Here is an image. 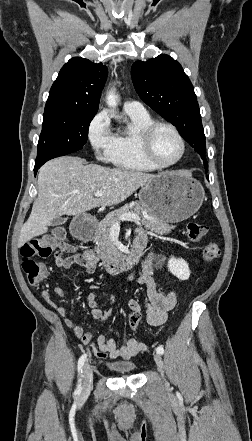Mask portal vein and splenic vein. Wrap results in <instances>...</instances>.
I'll list each match as a JSON object with an SVG mask.
<instances>
[{"mask_svg":"<svg viewBox=\"0 0 252 441\" xmlns=\"http://www.w3.org/2000/svg\"><path fill=\"white\" fill-rule=\"evenodd\" d=\"M102 194H103V191H96L94 193V195L96 197H100V196H102ZM120 220L121 221H133V222L138 223L139 221H141V218L135 213H125L120 216ZM118 226H119L118 222L113 224V227H118Z\"/></svg>","mask_w":252,"mask_h":441,"instance_id":"portal-vein-and-splenic-vein-1","label":"portal vein and splenic vein"}]
</instances>
